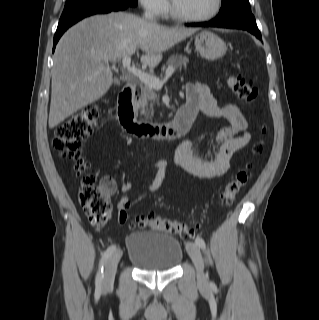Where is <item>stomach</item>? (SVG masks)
Listing matches in <instances>:
<instances>
[{
    "label": "stomach",
    "mask_w": 319,
    "mask_h": 320,
    "mask_svg": "<svg viewBox=\"0 0 319 320\" xmlns=\"http://www.w3.org/2000/svg\"><path fill=\"white\" fill-rule=\"evenodd\" d=\"M196 51L205 59L216 60L226 53V44L215 33L204 30L195 37Z\"/></svg>",
    "instance_id": "0dacf381"
}]
</instances>
